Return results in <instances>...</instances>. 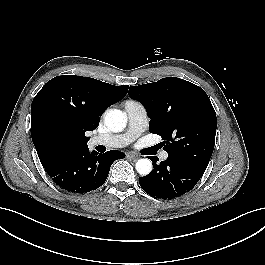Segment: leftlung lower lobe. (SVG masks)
<instances>
[{
  "label": "left lung lower lobe",
  "instance_id": "obj_1",
  "mask_svg": "<svg viewBox=\"0 0 265 265\" xmlns=\"http://www.w3.org/2000/svg\"><path fill=\"white\" fill-rule=\"evenodd\" d=\"M154 170L139 178L141 188L154 198L172 199L190 191L205 171L168 158L157 164L158 157L150 156Z\"/></svg>",
  "mask_w": 265,
  "mask_h": 265
}]
</instances>
